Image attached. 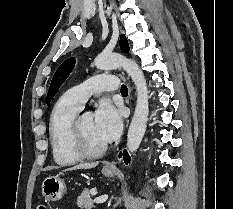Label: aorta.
<instances>
[{
  "mask_svg": "<svg viewBox=\"0 0 233 209\" xmlns=\"http://www.w3.org/2000/svg\"><path fill=\"white\" fill-rule=\"evenodd\" d=\"M97 68L109 70L122 67L131 77L137 91L134 115L128 130L127 149L130 154L136 152L146 131L149 103L146 79L138 64L120 54H100L94 61Z\"/></svg>",
  "mask_w": 233,
  "mask_h": 209,
  "instance_id": "aorta-1",
  "label": "aorta"
}]
</instances>
